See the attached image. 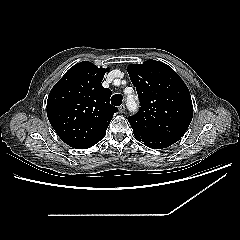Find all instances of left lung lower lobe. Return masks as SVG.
<instances>
[{
  "label": "left lung lower lobe",
  "instance_id": "1",
  "mask_svg": "<svg viewBox=\"0 0 240 240\" xmlns=\"http://www.w3.org/2000/svg\"><path fill=\"white\" fill-rule=\"evenodd\" d=\"M134 136L138 141H141L144 145L153 149L166 148L180 139V137L173 136H144L136 133H134Z\"/></svg>",
  "mask_w": 240,
  "mask_h": 240
}]
</instances>
